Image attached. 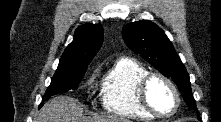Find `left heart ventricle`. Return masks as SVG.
<instances>
[{
    "mask_svg": "<svg viewBox=\"0 0 221 122\" xmlns=\"http://www.w3.org/2000/svg\"><path fill=\"white\" fill-rule=\"evenodd\" d=\"M148 98L151 105L160 113L173 111L175 97L170 87L160 79H153L148 87Z\"/></svg>",
    "mask_w": 221,
    "mask_h": 122,
    "instance_id": "left-heart-ventricle-1",
    "label": "left heart ventricle"
}]
</instances>
